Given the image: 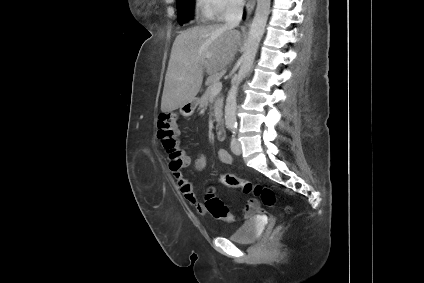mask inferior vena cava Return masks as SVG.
I'll return each instance as SVG.
<instances>
[{
  "mask_svg": "<svg viewBox=\"0 0 424 283\" xmlns=\"http://www.w3.org/2000/svg\"><path fill=\"white\" fill-rule=\"evenodd\" d=\"M243 15L242 0H230L224 13L225 26L230 28L237 27Z\"/></svg>",
  "mask_w": 424,
  "mask_h": 283,
  "instance_id": "obj_1",
  "label": "inferior vena cava"
}]
</instances>
